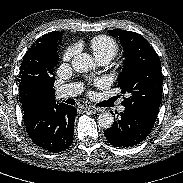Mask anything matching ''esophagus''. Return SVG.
Listing matches in <instances>:
<instances>
[{
	"label": "esophagus",
	"instance_id": "34e87169",
	"mask_svg": "<svg viewBox=\"0 0 183 183\" xmlns=\"http://www.w3.org/2000/svg\"><path fill=\"white\" fill-rule=\"evenodd\" d=\"M84 108H85V109H88V110H91V111L94 112V113L100 111L99 108H97V107H95V106H92V105H85Z\"/></svg>",
	"mask_w": 183,
	"mask_h": 183
}]
</instances>
